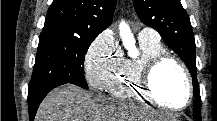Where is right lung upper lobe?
Wrapping results in <instances>:
<instances>
[{"instance_id": "1", "label": "right lung upper lobe", "mask_w": 217, "mask_h": 121, "mask_svg": "<svg viewBox=\"0 0 217 121\" xmlns=\"http://www.w3.org/2000/svg\"><path fill=\"white\" fill-rule=\"evenodd\" d=\"M116 0H53L42 32L97 37L110 26Z\"/></svg>"}]
</instances>
